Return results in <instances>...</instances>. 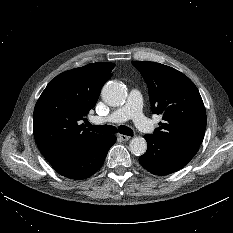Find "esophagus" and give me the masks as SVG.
I'll list each match as a JSON object with an SVG mask.
<instances>
[{"label":"esophagus","instance_id":"1","mask_svg":"<svg viewBox=\"0 0 233 233\" xmlns=\"http://www.w3.org/2000/svg\"><path fill=\"white\" fill-rule=\"evenodd\" d=\"M118 138L120 139V140H122V141H128V140H130V136H127V135H123V134H119L118 135Z\"/></svg>","mask_w":233,"mask_h":233}]
</instances>
